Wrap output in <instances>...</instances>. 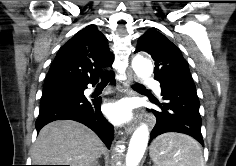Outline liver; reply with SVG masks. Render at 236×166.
Returning a JSON list of instances; mask_svg holds the SVG:
<instances>
[{"label": "liver", "mask_w": 236, "mask_h": 166, "mask_svg": "<svg viewBox=\"0 0 236 166\" xmlns=\"http://www.w3.org/2000/svg\"><path fill=\"white\" fill-rule=\"evenodd\" d=\"M105 152L99 137L72 120H58L44 126L32 148L34 165L92 166Z\"/></svg>", "instance_id": "obj_1"}]
</instances>
